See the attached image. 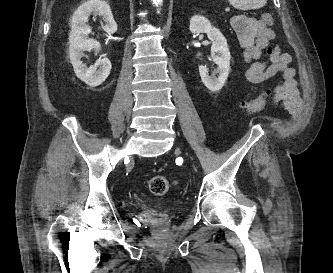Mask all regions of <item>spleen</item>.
Masks as SVG:
<instances>
[{
	"label": "spleen",
	"instance_id": "1",
	"mask_svg": "<svg viewBox=\"0 0 333 273\" xmlns=\"http://www.w3.org/2000/svg\"><path fill=\"white\" fill-rule=\"evenodd\" d=\"M267 0H229V3L239 10H252L262 8Z\"/></svg>",
	"mask_w": 333,
	"mask_h": 273
}]
</instances>
